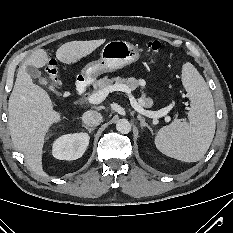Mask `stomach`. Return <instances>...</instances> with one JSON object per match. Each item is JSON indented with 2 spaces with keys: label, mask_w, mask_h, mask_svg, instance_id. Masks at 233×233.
<instances>
[{
  "label": "stomach",
  "mask_w": 233,
  "mask_h": 233,
  "mask_svg": "<svg viewBox=\"0 0 233 233\" xmlns=\"http://www.w3.org/2000/svg\"><path fill=\"white\" fill-rule=\"evenodd\" d=\"M140 59V49L124 40L107 42L101 50L100 58L85 65L81 76L89 82L103 73L123 68Z\"/></svg>",
  "instance_id": "obj_1"
}]
</instances>
